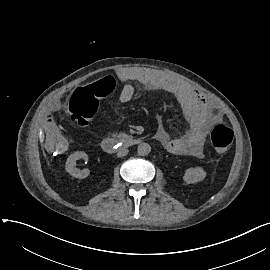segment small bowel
Returning <instances> with one entry per match:
<instances>
[{
    "label": "small bowel",
    "instance_id": "small-bowel-1",
    "mask_svg": "<svg viewBox=\"0 0 270 270\" xmlns=\"http://www.w3.org/2000/svg\"><path fill=\"white\" fill-rule=\"evenodd\" d=\"M122 80L139 81L153 88L167 91L180 101L191 107L189 131L181 136H172L165 127H159L156 131L157 140L173 154H188L197 158L203 156L205 137L212 126L221 120V116L214 109L210 99L203 96L196 89H192L157 70L149 68L129 69L121 73ZM134 96V88L125 84L120 92V101L127 103ZM48 150L53 155H62L67 150V141L58 136L55 123L47 120L44 123Z\"/></svg>",
    "mask_w": 270,
    "mask_h": 270
}]
</instances>
